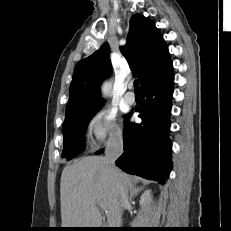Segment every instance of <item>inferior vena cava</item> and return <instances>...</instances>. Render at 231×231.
<instances>
[{
	"instance_id": "1",
	"label": "inferior vena cava",
	"mask_w": 231,
	"mask_h": 231,
	"mask_svg": "<svg viewBox=\"0 0 231 231\" xmlns=\"http://www.w3.org/2000/svg\"><path fill=\"white\" fill-rule=\"evenodd\" d=\"M123 152V138L122 134L114 133L110 135L105 148V163L107 168L110 171H113L115 167V160L122 154ZM128 204V195L127 192L122 191L120 195V209Z\"/></svg>"
}]
</instances>
